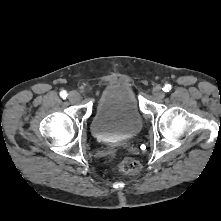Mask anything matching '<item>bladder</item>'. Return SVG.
Instances as JSON below:
<instances>
[{"label":"bladder","mask_w":221,"mask_h":221,"mask_svg":"<svg viewBox=\"0 0 221 221\" xmlns=\"http://www.w3.org/2000/svg\"><path fill=\"white\" fill-rule=\"evenodd\" d=\"M142 129V117L133 90L125 84H110L99 96L91 121L93 136L102 142L130 139Z\"/></svg>","instance_id":"1"}]
</instances>
